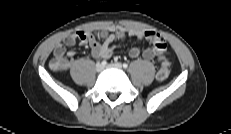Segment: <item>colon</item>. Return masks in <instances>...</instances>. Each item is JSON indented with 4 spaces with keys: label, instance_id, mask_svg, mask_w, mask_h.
I'll return each mask as SVG.
<instances>
[{
    "label": "colon",
    "instance_id": "colon-1",
    "mask_svg": "<svg viewBox=\"0 0 231 134\" xmlns=\"http://www.w3.org/2000/svg\"><path fill=\"white\" fill-rule=\"evenodd\" d=\"M68 60H66L65 58H54L52 59V61L50 62V66L51 68L55 69V70H63L66 69L68 67ZM170 63L168 60H165L164 62H162L157 74H156V78L159 81H164L168 78L169 74H170Z\"/></svg>",
    "mask_w": 231,
    "mask_h": 134
}]
</instances>
